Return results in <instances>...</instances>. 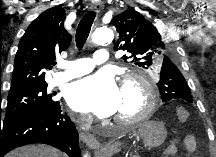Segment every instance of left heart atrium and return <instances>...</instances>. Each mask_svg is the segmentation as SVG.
Listing matches in <instances>:
<instances>
[{
    "instance_id": "39dd6f15",
    "label": "left heart atrium",
    "mask_w": 216,
    "mask_h": 157,
    "mask_svg": "<svg viewBox=\"0 0 216 157\" xmlns=\"http://www.w3.org/2000/svg\"><path fill=\"white\" fill-rule=\"evenodd\" d=\"M66 100L74 111L108 117L119 108L121 89L111 72L101 71L73 82L66 93Z\"/></svg>"
}]
</instances>
